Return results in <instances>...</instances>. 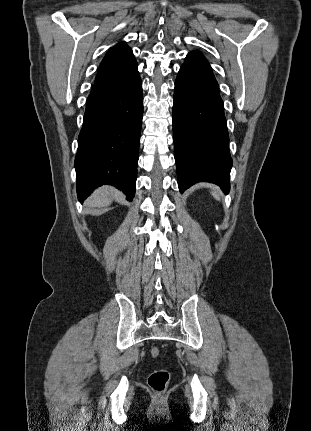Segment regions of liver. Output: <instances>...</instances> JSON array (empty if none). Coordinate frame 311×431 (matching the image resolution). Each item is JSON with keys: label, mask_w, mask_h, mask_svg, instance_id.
<instances>
[{"label": "liver", "mask_w": 311, "mask_h": 431, "mask_svg": "<svg viewBox=\"0 0 311 431\" xmlns=\"http://www.w3.org/2000/svg\"><path fill=\"white\" fill-rule=\"evenodd\" d=\"M114 196L115 190L113 188L102 186V188L95 190L89 200H86V204L89 208H106V206H110L111 202H113Z\"/></svg>", "instance_id": "liver-1"}]
</instances>
